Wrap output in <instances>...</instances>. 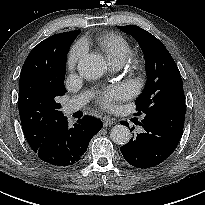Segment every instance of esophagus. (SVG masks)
<instances>
[{
    "instance_id": "obj_1",
    "label": "esophagus",
    "mask_w": 205,
    "mask_h": 205,
    "mask_svg": "<svg viewBox=\"0 0 205 205\" xmlns=\"http://www.w3.org/2000/svg\"><path fill=\"white\" fill-rule=\"evenodd\" d=\"M102 122H103V126H105V127L111 126V125L114 124V121L110 117H108V116H104L102 118Z\"/></svg>"
}]
</instances>
